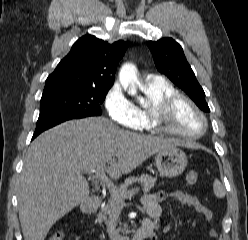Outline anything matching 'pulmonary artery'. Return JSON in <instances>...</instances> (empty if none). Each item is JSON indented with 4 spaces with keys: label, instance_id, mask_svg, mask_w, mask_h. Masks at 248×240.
Masks as SVG:
<instances>
[{
    "label": "pulmonary artery",
    "instance_id": "obj_1",
    "mask_svg": "<svg viewBox=\"0 0 248 240\" xmlns=\"http://www.w3.org/2000/svg\"><path fill=\"white\" fill-rule=\"evenodd\" d=\"M153 78H158V76L155 75V74H149V75L147 76V79H153Z\"/></svg>",
    "mask_w": 248,
    "mask_h": 240
}]
</instances>
